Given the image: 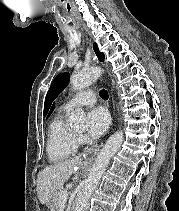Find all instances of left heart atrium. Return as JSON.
<instances>
[{
  "instance_id": "obj_1",
  "label": "left heart atrium",
  "mask_w": 179,
  "mask_h": 211,
  "mask_svg": "<svg viewBox=\"0 0 179 211\" xmlns=\"http://www.w3.org/2000/svg\"><path fill=\"white\" fill-rule=\"evenodd\" d=\"M88 135L92 139L101 137L109 127L110 117L108 112L101 107L92 109L87 116Z\"/></svg>"
}]
</instances>
